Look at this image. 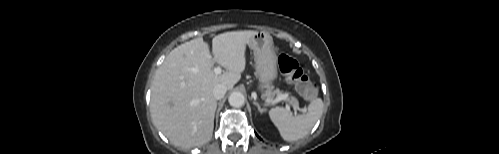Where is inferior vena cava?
<instances>
[{
	"label": "inferior vena cava",
	"instance_id": "obj_1",
	"mask_svg": "<svg viewBox=\"0 0 499 154\" xmlns=\"http://www.w3.org/2000/svg\"><path fill=\"white\" fill-rule=\"evenodd\" d=\"M227 86L224 84H217L213 88V96L215 99H222L227 92Z\"/></svg>",
	"mask_w": 499,
	"mask_h": 154
}]
</instances>
